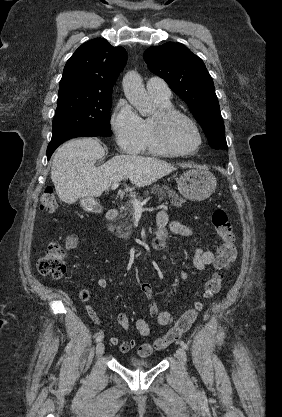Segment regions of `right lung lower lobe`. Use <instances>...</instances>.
<instances>
[{
	"mask_svg": "<svg viewBox=\"0 0 282 417\" xmlns=\"http://www.w3.org/2000/svg\"><path fill=\"white\" fill-rule=\"evenodd\" d=\"M94 136H99V135L92 134L84 130H71V131L60 133L56 136H52L51 142L49 143L48 148H47L48 160L50 159L55 149L64 141L71 139V138H75V137H94Z\"/></svg>",
	"mask_w": 282,
	"mask_h": 417,
	"instance_id": "1",
	"label": "right lung lower lobe"
}]
</instances>
